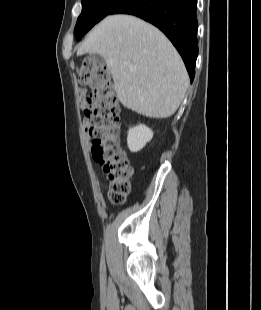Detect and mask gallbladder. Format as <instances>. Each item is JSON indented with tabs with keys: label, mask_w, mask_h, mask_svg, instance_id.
Wrapping results in <instances>:
<instances>
[{
	"label": "gallbladder",
	"mask_w": 261,
	"mask_h": 310,
	"mask_svg": "<svg viewBox=\"0 0 261 310\" xmlns=\"http://www.w3.org/2000/svg\"><path fill=\"white\" fill-rule=\"evenodd\" d=\"M90 58L93 59L96 63H98L101 66L105 64L104 58L99 54H92Z\"/></svg>",
	"instance_id": "obj_1"
}]
</instances>
